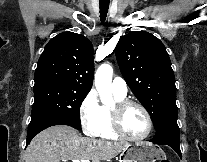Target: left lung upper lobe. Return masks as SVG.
<instances>
[{"label":"left lung upper lobe","mask_w":207,"mask_h":162,"mask_svg":"<svg viewBox=\"0 0 207 162\" xmlns=\"http://www.w3.org/2000/svg\"><path fill=\"white\" fill-rule=\"evenodd\" d=\"M121 72L147 109L156 130L177 122L175 77L163 43L146 31L130 32L115 48Z\"/></svg>","instance_id":"1"}]
</instances>
